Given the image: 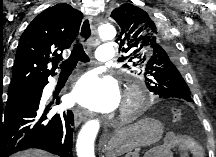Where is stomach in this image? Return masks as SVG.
Listing matches in <instances>:
<instances>
[{"label": "stomach", "instance_id": "stomach-1", "mask_svg": "<svg viewBox=\"0 0 216 157\" xmlns=\"http://www.w3.org/2000/svg\"><path fill=\"white\" fill-rule=\"evenodd\" d=\"M163 125L156 119H143L114 132L107 140L104 150L107 155H122L142 145H149L161 139Z\"/></svg>", "mask_w": 216, "mask_h": 157}]
</instances>
